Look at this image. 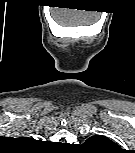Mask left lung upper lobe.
Returning <instances> with one entry per match:
<instances>
[{"instance_id": "1", "label": "left lung upper lobe", "mask_w": 135, "mask_h": 153, "mask_svg": "<svg viewBox=\"0 0 135 153\" xmlns=\"http://www.w3.org/2000/svg\"><path fill=\"white\" fill-rule=\"evenodd\" d=\"M84 145L90 149L99 150V151L113 150L118 147L110 139L102 135H95L88 138L84 143Z\"/></svg>"}]
</instances>
